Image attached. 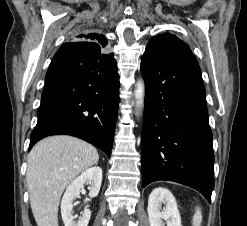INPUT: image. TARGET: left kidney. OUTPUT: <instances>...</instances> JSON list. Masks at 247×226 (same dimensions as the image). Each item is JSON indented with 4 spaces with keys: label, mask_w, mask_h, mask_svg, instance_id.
Listing matches in <instances>:
<instances>
[{
    "label": "left kidney",
    "mask_w": 247,
    "mask_h": 226,
    "mask_svg": "<svg viewBox=\"0 0 247 226\" xmlns=\"http://www.w3.org/2000/svg\"><path fill=\"white\" fill-rule=\"evenodd\" d=\"M162 203L165 204L163 209ZM148 216L150 226H182L174 196L162 187L154 189L149 196Z\"/></svg>",
    "instance_id": "left-kidney-1"
}]
</instances>
